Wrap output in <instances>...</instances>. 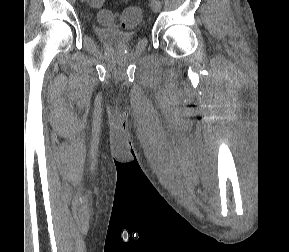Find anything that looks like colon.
Listing matches in <instances>:
<instances>
[{
  "mask_svg": "<svg viewBox=\"0 0 289 252\" xmlns=\"http://www.w3.org/2000/svg\"><path fill=\"white\" fill-rule=\"evenodd\" d=\"M104 1H93V7L99 10L98 20L102 24L131 28L138 24L142 18V10L137 6L128 7L122 13L114 14L107 9H103Z\"/></svg>",
  "mask_w": 289,
  "mask_h": 252,
  "instance_id": "obj_1",
  "label": "colon"
}]
</instances>
